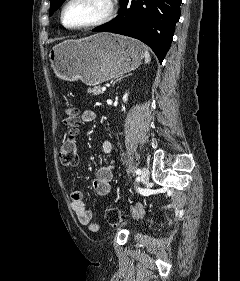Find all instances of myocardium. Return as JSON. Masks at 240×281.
<instances>
[{"label": "myocardium", "mask_w": 240, "mask_h": 281, "mask_svg": "<svg viewBox=\"0 0 240 281\" xmlns=\"http://www.w3.org/2000/svg\"><path fill=\"white\" fill-rule=\"evenodd\" d=\"M71 2H73V0H66V2L62 6L61 12H60V22L65 28H67L69 30H82V29H88V28L101 26V25L109 22L115 14V1L106 0V4H107L106 12L99 19L86 23V24L78 25V26H69L64 21V14H65L67 7L69 6V4Z\"/></svg>", "instance_id": "f54148a6"}]
</instances>
